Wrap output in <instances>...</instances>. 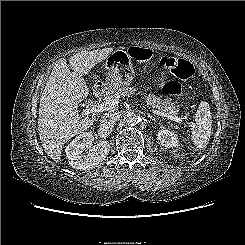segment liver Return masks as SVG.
Instances as JSON below:
<instances>
[{"mask_svg":"<svg viewBox=\"0 0 245 245\" xmlns=\"http://www.w3.org/2000/svg\"><path fill=\"white\" fill-rule=\"evenodd\" d=\"M113 48L83 51L67 60L56 61L42 92L39 105L38 132L46 154L59 162L64 144L72 137L87 131L93 118L82 119L77 105L89 94L83 78L98 63L105 60Z\"/></svg>","mask_w":245,"mask_h":245,"instance_id":"liver-1","label":"liver"}]
</instances>
